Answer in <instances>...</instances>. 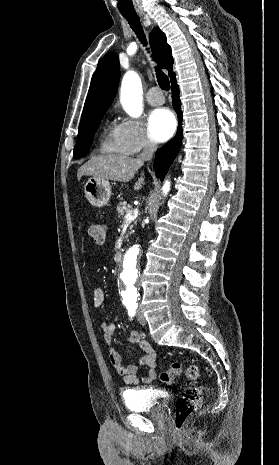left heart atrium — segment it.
Instances as JSON below:
<instances>
[{
  "label": "left heart atrium",
  "mask_w": 279,
  "mask_h": 465,
  "mask_svg": "<svg viewBox=\"0 0 279 465\" xmlns=\"http://www.w3.org/2000/svg\"><path fill=\"white\" fill-rule=\"evenodd\" d=\"M176 129V119L173 113L160 108L151 112L148 118V131L151 137L159 142L169 139Z\"/></svg>",
  "instance_id": "1"
}]
</instances>
